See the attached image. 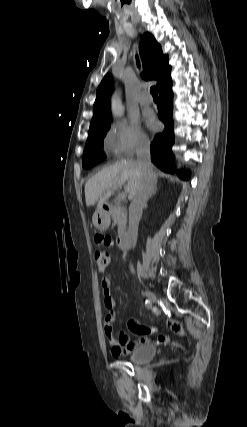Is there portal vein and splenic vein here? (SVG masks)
Listing matches in <instances>:
<instances>
[{
  "instance_id": "obj_1",
  "label": "portal vein and splenic vein",
  "mask_w": 247,
  "mask_h": 427,
  "mask_svg": "<svg viewBox=\"0 0 247 427\" xmlns=\"http://www.w3.org/2000/svg\"><path fill=\"white\" fill-rule=\"evenodd\" d=\"M126 197V193H121V194H119V196H118V200H122V199H124Z\"/></svg>"
}]
</instances>
